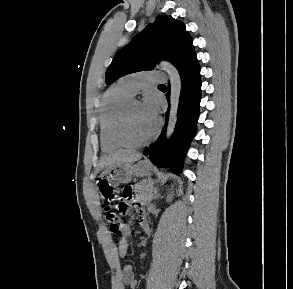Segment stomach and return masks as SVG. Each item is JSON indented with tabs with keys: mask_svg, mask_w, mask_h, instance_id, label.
I'll use <instances>...</instances> for the list:
<instances>
[{
	"mask_svg": "<svg viewBox=\"0 0 293 289\" xmlns=\"http://www.w3.org/2000/svg\"><path fill=\"white\" fill-rule=\"evenodd\" d=\"M151 171L152 165L147 161H140L137 164L120 163L112 165L96 182L101 199L107 200L109 203L114 201L119 193V184L130 182L132 176L149 177Z\"/></svg>",
	"mask_w": 293,
	"mask_h": 289,
	"instance_id": "1",
	"label": "stomach"
}]
</instances>
